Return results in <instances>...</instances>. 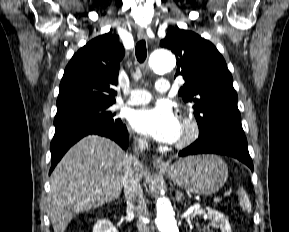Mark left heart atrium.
Wrapping results in <instances>:
<instances>
[{
  "mask_svg": "<svg viewBox=\"0 0 289 232\" xmlns=\"http://www.w3.org/2000/svg\"><path fill=\"white\" fill-rule=\"evenodd\" d=\"M137 132L163 143L176 142L181 135V125L171 108L164 104L135 110L130 119Z\"/></svg>",
  "mask_w": 289,
  "mask_h": 232,
  "instance_id": "obj_1",
  "label": "left heart atrium"
}]
</instances>
